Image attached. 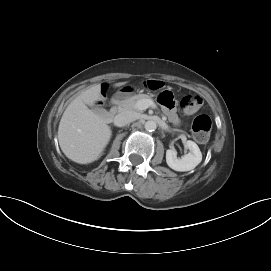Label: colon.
Returning <instances> with one entry per match:
<instances>
[{"label":"colon","instance_id":"colon-1","mask_svg":"<svg viewBox=\"0 0 271 271\" xmlns=\"http://www.w3.org/2000/svg\"><path fill=\"white\" fill-rule=\"evenodd\" d=\"M146 86L150 90L160 91L159 102L165 107L173 106V95L170 91L163 88V83L158 80L146 81ZM202 104V99L194 95H185L180 101V107L186 114H192L199 110ZM211 119L204 114L198 115L194 118L192 123V132L195 140L199 143H206L211 132Z\"/></svg>","mask_w":271,"mask_h":271}]
</instances>
